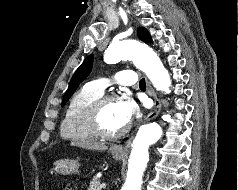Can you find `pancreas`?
<instances>
[{"instance_id":"obj_1","label":"pancreas","mask_w":238,"mask_h":190,"mask_svg":"<svg viewBox=\"0 0 238 190\" xmlns=\"http://www.w3.org/2000/svg\"><path fill=\"white\" fill-rule=\"evenodd\" d=\"M101 182L100 179L97 177H93L92 181L90 182V186L88 190H101Z\"/></svg>"}]
</instances>
